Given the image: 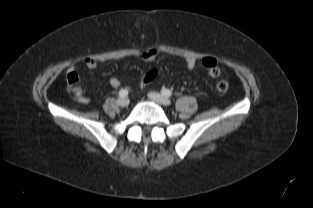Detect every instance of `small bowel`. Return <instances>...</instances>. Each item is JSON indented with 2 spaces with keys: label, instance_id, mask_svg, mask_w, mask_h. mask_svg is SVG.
Wrapping results in <instances>:
<instances>
[{
  "label": "small bowel",
  "instance_id": "small-bowel-1",
  "mask_svg": "<svg viewBox=\"0 0 313 208\" xmlns=\"http://www.w3.org/2000/svg\"><path fill=\"white\" fill-rule=\"evenodd\" d=\"M157 56V50L154 48H149L146 49L145 51H143L140 55L139 58L144 60V61H152L155 59V57ZM83 64L90 68V69H94L98 66V61L94 58L91 57H86L82 60ZM201 63L203 66H205L208 70L211 67L217 66V61L214 57H204L201 60ZM185 64L186 67L189 69H193L196 66V60L193 57H188L185 59ZM74 77L76 82L74 84H71V78ZM67 82H68V86L72 92V94L74 95L75 99L82 103V104H88L90 102V98L83 92L82 88L79 86V76L76 72V69L74 66H71L68 70V74H67ZM110 84L113 87H119L120 86V82L117 78L113 77L110 79Z\"/></svg>",
  "mask_w": 313,
  "mask_h": 208
}]
</instances>
